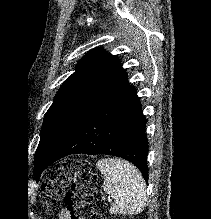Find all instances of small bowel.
<instances>
[{"label": "small bowel", "mask_w": 211, "mask_h": 219, "mask_svg": "<svg viewBox=\"0 0 211 219\" xmlns=\"http://www.w3.org/2000/svg\"><path fill=\"white\" fill-rule=\"evenodd\" d=\"M60 219H69L68 213L67 212H62Z\"/></svg>", "instance_id": "small-bowel-1"}]
</instances>
